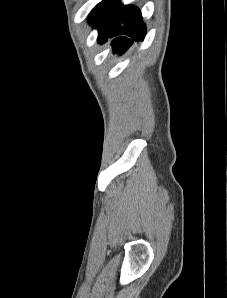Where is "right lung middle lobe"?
Instances as JSON below:
<instances>
[{"mask_svg": "<svg viewBox=\"0 0 227 298\" xmlns=\"http://www.w3.org/2000/svg\"><path fill=\"white\" fill-rule=\"evenodd\" d=\"M114 0H103L101 3H99L91 12L89 17V22L92 23L94 19L102 12L104 11Z\"/></svg>", "mask_w": 227, "mask_h": 298, "instance_id": "right-lung-middle-lobe-1", "label": "right lung middle lobe"}]
</instances>
